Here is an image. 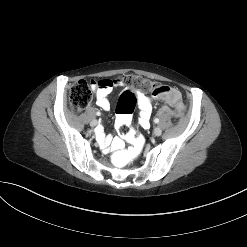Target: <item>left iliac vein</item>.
Listing matches in <instances>:
<instances>
[{"mask_svg":"<svg viewBox=\"0 0 247 247\" xmlns=\"http://www.w3.org/2000/svg\"><path fill=\"white\" fill-rule=\"evenodd\" d=\"M161 134H162L161 128L156 127V128L154 129V135H155V136H160Z\"/></svg>","mask_w":247,"mask_h":247,"instance_id":"obj_1","label":"left iliac vein"}]
</instances>
